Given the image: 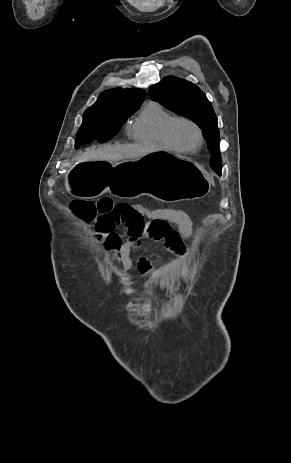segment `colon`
<instances>
[{
	"label": "colon",
	"instance_id": "colon-1",
	"mask_svg": "<svg viewBox=\"0 0 291 463\" xmlns=\"http://www.w3.org/2000/svg\"><path fill=\"white\" fill-rule=\"evenodd\" d=\"M73 213L86 221L96 222L97 229H114L125 222L131 212V205L114 202L109 197H102L98 201L75 199L70 203Z\"/></svg>",
	"mask_w": 291,
	"mask_h": 463
}]
</instances>
